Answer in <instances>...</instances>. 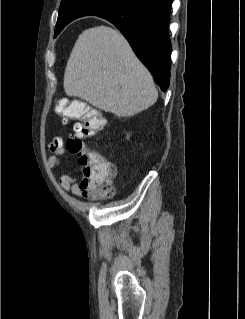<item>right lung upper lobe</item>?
<instances>
[{
    "label": "right lung upper lobe",
    "instance_id": "obj_1",
    "mask_svg": "<svg viewBox=\"0 0 245 319\" xmlns=\"http://www.w3.org/2000/svg\"><path fill=\"white\" fill-rule=\"evenodd\" d=\"M83 0H62L63 9L59 11L56 28H64L72 20L89 15V11H85L79 4Z\"/></svg>",
    "mask_w": 245,
    "mask_h": 319
}]
</instances>
